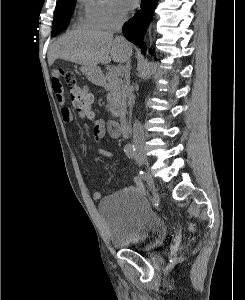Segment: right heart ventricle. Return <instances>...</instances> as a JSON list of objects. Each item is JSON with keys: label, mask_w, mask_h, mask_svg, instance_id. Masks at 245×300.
<instances>
[{"label": "right heart ventricle", "mask_w": 245, "mask_h": 300, "mask_svg": "<svg viewBox=\"0 0 245 300\" xmlns=\"http://www.w3.org/2000/svg\"><path fill=\"white\" fill-rule=\"evenodd\" d=\"M81 22L83 23V24H86V25H90L87 21H86V19L84 18V19H82L81 20Z\"/></svg>", "instance_id": "right-heart-ventricle-1"}]
</instances>
